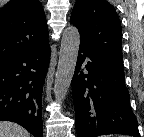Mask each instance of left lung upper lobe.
I'll use <instances>...</instances> for the list:
<instances>
[{"label":"left lung upper lobe","mask_w":144,"mask_h":137,"mask_svg":"<svg viewBox=\"0 0 144 137\" xmlns=\"http://www.w3.org/2000/svg\"><path fill=\"white\" fill-rule=\"evenodd\" d=\"M71 22L80 33V42L96 53L122 62V29L117 12L105 0H77Z\"/></svg>","instance_id":"left-lung-upper-lobe-1"}]
</instances>
